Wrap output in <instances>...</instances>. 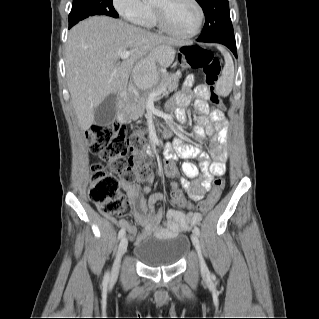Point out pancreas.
I'll list each match as a JSON object with an SVG mask.
<instances>
[{"label": "pancreas", "instance_id": "1", "mask_svg": "<svg viewBox=\"0 0 319 319\" xmlns=\"http://www.w3.org/2000/svg\"><path fill=\"white\" fill-rule=\"evenodd\" d=\"M180 77V71H177L176 73L162 74L157 84L150 88L149 91L133 96V99L126 106V114L129 120L136 121L141 118L145 112L148 100L152 99L156 101L159 98L160 94L153 98H149L150 93L163 89L161 93H163V95H167L176 90L179 85Z\"/></svg>", "mask_w": 319, "mask_h": 319}]
</instances>
